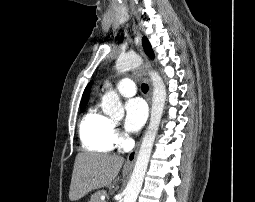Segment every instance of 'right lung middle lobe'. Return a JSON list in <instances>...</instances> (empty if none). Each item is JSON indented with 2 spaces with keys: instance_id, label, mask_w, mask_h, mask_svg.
I'll return each mask as SVG.
<instances>
[{
  "instance_id": "dd1d6c3e",
  "label": "right lung middle lobe",
  "mask_w": 255,
  "mask_h": 202,
  "mask_svg": "<svg viewBox=\"0 0 255 202\" xmlns=\"http://www.w3.org/2000/svg\"><path fill=\"white\" fill-rule=\"evenodd\" d=\"M84 106H85V104H82V105H81V109H82Z\"/></svg>"
}]
</instances>
